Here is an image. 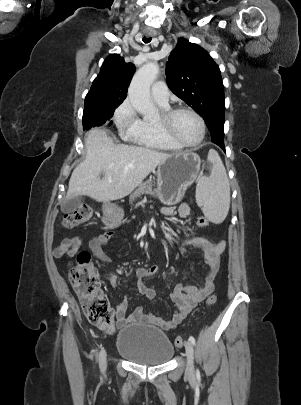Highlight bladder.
I'll use <instances>...</instances> for the list:
<instances>
[{
  "label": "bladder",
  "instance_id": "obj_1",
  "mask_svg": "<svg viewBox=\"0 0 301 405\" xmlns=\"http://www.w3.org/2000/svg\"><path fill=\"white\" fill-rule=\"evenodd\" d=\"M117 352L127 360L147 366L169 362L174 354L169 337L149 325H131L117 335Z\"/></svg>",
  "mask_w": 301,
  "mask_h": 405
}]
</instances>
